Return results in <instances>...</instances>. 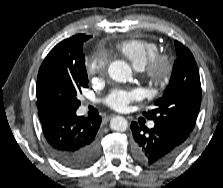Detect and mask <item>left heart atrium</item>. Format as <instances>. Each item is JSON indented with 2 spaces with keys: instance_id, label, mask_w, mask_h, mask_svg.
I'll use <instances>...</instances> for the list:
<instances>
[{
  "instance_id": "39dd6f15",
  "label": "left heart atrium",
  "mask_w": 223,
  "mask_h": 188,
  "mask_svg": "<svg viewBox=\"0 0 223 188\" xmlns=\"http://www.w3.org/2000/svg\"><path fill=\"white\" fill-rule=\"evenodd\" d=\"M142 97V92L138 89L131 91L117 90L113 91L107 98V104L110 108L116 111H124L129 104L137 101Z\"/></svg>"
}]
</instances>
